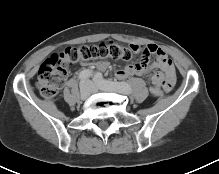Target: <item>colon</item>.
I'll return each mask as SVG.
<instances>
[{"mask_svg": "<svg viewBox=\"0 0 219 174\" xmlns=\"http://www.w3.org/2000/svg\"><path fill=\"white\" fill-rule=\"evenodd\" d=\"M133 56L134 51L131 46H124L113 41L70 47L62 52L53 53L40 66L36 85L46 99H55L66 81L70 67L93 60L130 61ZM140 62L145 64L142 59ZM150 91L155 98L163 95V90L160 86L152 87Z\"/></svg>", "mask_w": 219, "mask_h": 174, "instance_id": "1", "label": "colon"}]
</instances>
